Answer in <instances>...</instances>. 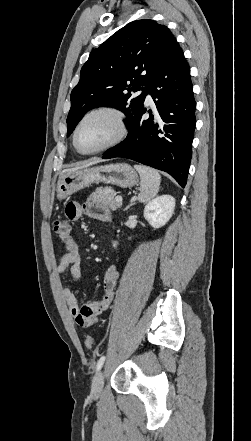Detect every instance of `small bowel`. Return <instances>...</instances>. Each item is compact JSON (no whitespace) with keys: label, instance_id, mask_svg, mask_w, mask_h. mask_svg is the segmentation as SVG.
<instances>
[{"label":"small bowel","instance_id":"small-bowel-1","mask_svg":"<svg viewBox=\"0 0 251 441\" xmlns=\"http://www.w3.org/2000/svg\"><path fill=\"white\" fill-rule=\"evenodd\" d=\"M66 215L71 220H79L84 216H88L105 223H113L110 211L96 203L81 204L76 201L70 202L66 207ZM113 246L117 248L118 243L116 240L113 241ZM68 268H70V276L78 281L81 277V255L79 244L74 239L66 243L65 252L57 265V272L67 277ZM118 277L119 273L116 266H110L102 276L103 296L98 300L86 301L81 305H79L75 293L70 287L63 288V298L67 303L72 317L80 327L88 328L92 326L98 316L109 308L115 295Z\"/></svg>","mask_w":251,"mask_h":441}]
</instances>
